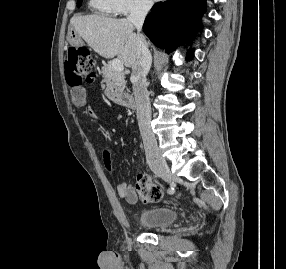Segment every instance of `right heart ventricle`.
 Instances as JSON below:
<instances>
[{
	"label": "right heart ventricle",
	"mask_w": 286,
	"mask_h": 269,
	"mask_svg": "<svg viewBox=\"0 0 286 269\" xmlns=\"http://www.w3.org/2000/svg\"><path fill=\"white\" fill-rule=\"evenodd\" d=\"M89 8L100 15H115V5L113 0H88Z\"/></svg>",
	"instance_id": "1"
}]
</instances>
